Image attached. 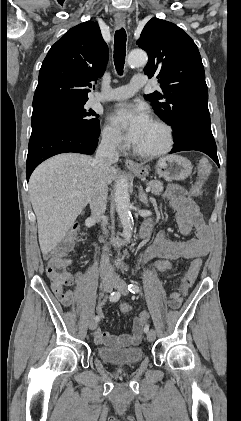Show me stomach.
Returning <instances> with one entry per match:
<instances>
[{
	"mask_svg": "<svg viewBox=\"0 0 241 421\" xmlns=\"http://www.w3.org/2000/svg\"><path fill=\"white\" fill-rule=\"evenodd\" d=\"M156 173L166 180H183L192 172L191 162L179 155H168L160 158L155 165ZM149 167L140 165L132 172L139 178L149 174Z\"/></svg>",
	"mask_w": 241,
	"mask_h": 421,
	"instance_id": "0dacf381",
	"label": "stomach"
}]
</instances>
